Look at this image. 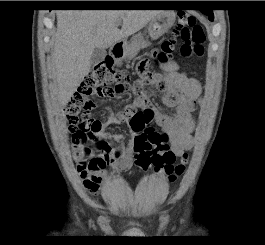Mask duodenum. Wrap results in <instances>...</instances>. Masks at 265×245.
<instances>
[{
	"label": "duodenum",
	"instance_id": "duodenum-1",
	"mask_svg": "<svg viewBox=\"0 0 265 245\" xmlns=\"http://www.w3.org/2000/svg\"><path fill=\"white\" fill-rule=\"evenodd\" d=\"M110 53L116 59H122L124 57V44L122 41L115 42L111 48Z\"/></svg>",
	"mask_w": 265,
	"mask_h": 245
}]
</instances>
